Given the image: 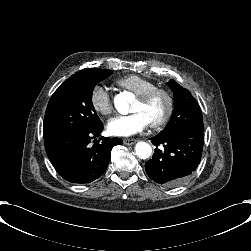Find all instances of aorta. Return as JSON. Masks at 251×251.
Wrapping results in <instances>:
<instances>
[{"mask_svg": "<svg viewBox=\"0 0 251 251\" xmlns=\"http://www.w3.org/2000/svg\"><path fill=\"white\" fill-rule=\"evenodd\" d=\"M133 100V97L129 92L119 93L115 100V108L120 114H127L129 109V103ZM135 154L141 159H147L151 153V145L144 141H138L134 146Z\"/></svg>", "mask_w": 251, "mask_h": 251, "instance_id": "762f6f07", "label": "aorta"}]
</instances>
